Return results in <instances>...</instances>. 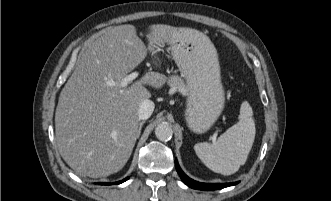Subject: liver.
<instances>
[{
  "mask_svg": "<svg viewBox=\"0 0 331 201\" xmlns=\"http://www.w3.org/2000/svg\"><path fill=\"white\" fill-rule=\"evenodd\" d=\"M179 29L149 26L148 49L156 54ZM146 56L147 48L130 24L102 30L80 54L55 112L59 153L77 174L106 177L127 163L139 137V106L151 97L144 85L160 88L166 82L165 75L148 72L129 87L120 86Z\"/></svg>",
  "mask_w": 331,
  "mask_h": 201,
  "instance_id": "1",
  "label": "liver"
}]
</instances>
